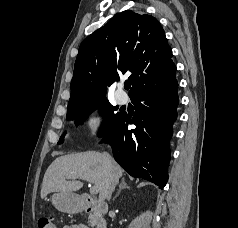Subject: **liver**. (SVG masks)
Here are the masks:
<instances>
[{
    "label": "liver",
    "instance_id": "6515ba94",
    "mask_svg": "<svg viewBox=\"0 0 238 228\" xmlns=\"http://www.w3.org/2000/svg\"><path fill=\"white\" fill-rule=\"evenodd\" d=\"M112 174L118 183L123 170L114 161L109 167L102 153L87 151L61 156L56 158L46 170L40 195L44 199L51 192L77 191L82 188L83 183L76 179L88 177L98 189L99 200L102 202L106 199Z\"/></svg>",
    "mask_w": 238,
    "mask_h": 228
}]
</instances>
